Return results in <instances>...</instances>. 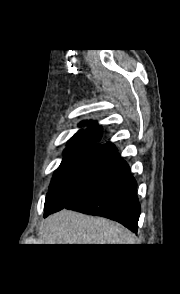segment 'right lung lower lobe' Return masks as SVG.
Here are the masks:
<instances>
[{"mask_svg":"<svg viewBox=\"0 0 180 294\" xmlns=\"http://www.w3.org/2000/svg\"><path fill=\"white\" fill-rule=\"evenodd\" d=\"M137 183L116 147H98L77 175L44 208V216L63 208L115 220L137 232L140 205Z\"/></svg>","mask_w":180,"mask_h":294,"instance_id":"right-lung-lower-lobe-1","label":"right lung lower lobe"}]
</instances>
